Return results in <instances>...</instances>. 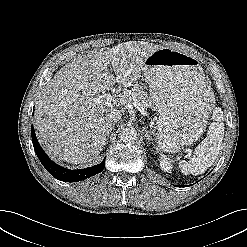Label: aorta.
Here are the masks:
<instances>
[{
  "instance_id": "aorta-1",
  "label": "aorta",
  "mask_w": 247,
  "mask_h": 247,
  "mask_svg": "<svg viewBox=\"0 0 247 247\" xmlns=\"http://www.w3.org/2000/svg\"><path fill=\"white\" fill-rule=\"evenodd\" d=\"M137 138V132L134 129H126L121 133V140L125 143H132Z\"/></svg>"
}]
</instances>
